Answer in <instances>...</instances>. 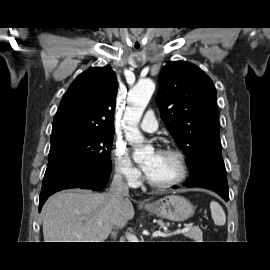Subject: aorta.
Returning <instances> with one entry per match:
<instances>
[{"instance_id":"aorta-1","label":"aorta","mask_w":270,"mask_h":270,"mask_svg":"<svg viewBox=\"0 0 270 270\" xmlns=\"http://www.w3.org/2000/svg\"><path fill=\"white\" fill-rule=\"evenodd\" d=\"M154 90L155 83L151 79H143L128 94V107L123 119L128 125L125 136L129 142L141 144L144 141V137L138 129V124ZM153 151L152 146L141 147L134 152L133 158L137 162L142 161L147 155L152 154Z\"/></svg>"}]
</instances>
